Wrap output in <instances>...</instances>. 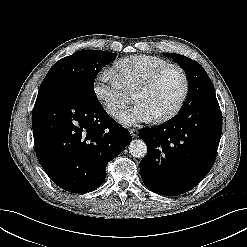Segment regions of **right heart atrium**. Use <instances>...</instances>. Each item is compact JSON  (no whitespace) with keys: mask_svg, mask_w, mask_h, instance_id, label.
Instances as JSON below:
<instances>
[{"mask_svg":"<svg viewBox=\"0 0 247 247\" xmlns=\"http://www.w3.org/2000/svg\"><path fill=\"white\" fill-rule=\"evenodd\" d=\"M93 92L111 116H116L130 102L129 94L111 70L104 69L99 72L93 85Z\"/></svg>","mask_w":247,"mask_h":247,"instance_id":"1","label":"right heart atrium"}]
</instances>
